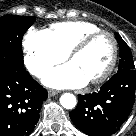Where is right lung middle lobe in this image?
<instances>
[{
    "label": "right lung middle lobe",
    "mask_w": 136,
    "mask_h": 136,
    "mask_svg": "<svg viewBox=\"0 0 136 136\" xmlns=\"http://www.w3.org/2000/svg\"><path fill=\"white\" fill-rule=\"evenodd\" d=\"M34 21L32 16L0 17V70H19L24 67L21 40Z\"/></svg>",
    "instance_id": "right-lung-middle-lobe-1"
}]
</instances>
